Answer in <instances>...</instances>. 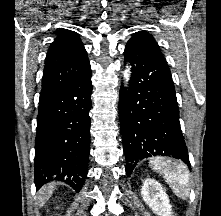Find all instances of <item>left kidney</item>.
Returning <instances> with one entry per match:
<instances>
[{
    "label": "left kidney",
    "instance_id": "5707ae66",
    "mask_svg": "<svg viewBox=\"0 0 221 216\" xmlns=\"http://www.w3.org/2000/svg\"><path fill=\"white\" fill-rule=\"evenodd\" d=\"M142 198L159 216H173L168 195L162 185L154 179H146L141 188Z\"/></svg>",
    "mask_w": 221,
    "mask_h": 216
}]
</instances>
